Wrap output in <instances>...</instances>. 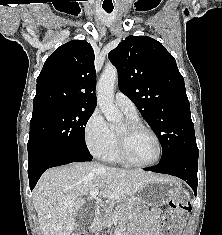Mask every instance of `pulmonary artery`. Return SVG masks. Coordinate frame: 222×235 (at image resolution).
Masks as SVG:
<instances>
[{
    "label": "pulmonary artery",
    "instance_id": "e3ab8cb5",
    "mask_svg": "<svg viewBox=\"0 0 222 235\" xmlns=\"http://www.w3.org/2000/svg\"><path fill=\"white\" fill-rule=\"evenodd\" d=\"M116 105L127 115L137 116V108L135 104L122 92L115 94Z\"/></svg>",
    "mask_w": 222,
    "mask_h": 235
}]
</instances>
